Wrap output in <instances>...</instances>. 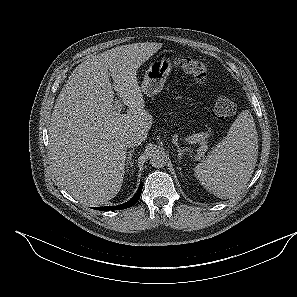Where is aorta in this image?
<instances>
[{"label": "aorta", "instance_id": "obj_1", "mask_svg": "<svg viewBox=\"0 0 297 297\" xmlns=\"http://www.w3.org/2000/svg\"><path fill=\"white\" fill-rule=\"evenodd\" d=\"M167 163V155L162 150H155L150 154V164L155 168L164 167Z\"/></svg>", "mask_w": 297, "mask_h": 297}]
</instances>
